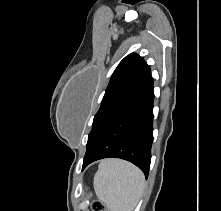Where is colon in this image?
<instances>
[{"mask_svg": "<svg viewBox=\"0 0 221 211\" xmlns=\"http://www.w3.org/2000/svg\"><path fill=\"white\" fill-rule=\"evenodd\" d=\"M92 211H108V210L102 202L95 200L92 202Z\"/></svg>", "mask_w": 221, "mask_h": 211, "instance_id": "colon-1", "label": "colon"}]
</instances>
